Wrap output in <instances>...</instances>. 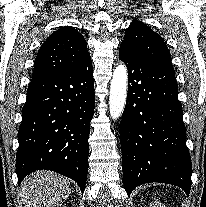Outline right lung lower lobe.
Instances as JSON below:
<instances>
[{"label":"right lung lower lobe","mask_w":206,"mask_h":207,"mask_svg":"<svg viewBox=\"0 0 206 207\" xmlns=\"http://www.w3.org/2000/svg\"><path fill=\"white\" fill-rule=\"evenodd\" d=\"M94 97L91 59L66 74L30 82L18 131V183L45 169L71 178L84 192Z\"/></svg>","instance_id":"obj_1"}]
</instances>
